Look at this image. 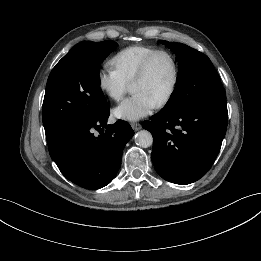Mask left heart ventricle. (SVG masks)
<instances>
[{
    "mask_svg": "<svg viewBox=\"0 0 261 261\" xmlns=\"http://www.w3.org/2000/svg\"><path fill=\"white\" fill-rule=\"evenodd\" d=\"M173 79V68L168 57L158 56L152 63L148 75L131 86L133 93H143L156 104L161 101L170 89Z\"/></svg>",
    "mask_w": 261,
    "mask_h": 261,
    "instance_id": "b2bd125f",
    "label": "left heart ventricle"
}]
</instances>
